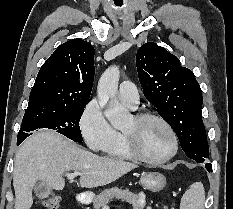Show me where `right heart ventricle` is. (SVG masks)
<instances>
[{
	"mask_svg": "<svg viewBox=\"0 0 233 209\" xmlns=\"http://www.w3.org/2000/svg\"><path fill=\"white\" fill-rule=\"evenodd\" d=\"M104 154L110 158L119 160H132L133 157L129 153L126 144L124 134L117 132L114 142L103 150Z\"/></svg>",
	"mask_w": 233,
	"mask_h": 209,
	"instance_id": "e07e8e85",
	"label": "right heart ventricle"
}]
</instances>
